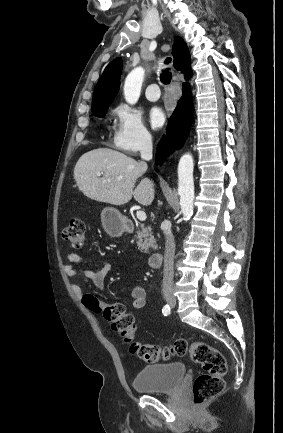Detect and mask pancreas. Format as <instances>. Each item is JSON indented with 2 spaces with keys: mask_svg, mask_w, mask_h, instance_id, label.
<instances>
[{
  "mask_svg": "<svg viewBox=\"0 0 283 433\" xmlns=\"http://www.w3.org/2000/svg\"><path fill=\"white\" fill-rule=\"evenodd\" d=\"M141 231L137 233V245L140 249H144V251H149V247H152L153 243H155V239L152 235V229L148 227L145 229L144 225H140Z\"/></svg>",
  "mask_w": 283,
  "mask_h": 433,
  "instance_id": "1",
  "label": "pancreas"
}]
</instances>
